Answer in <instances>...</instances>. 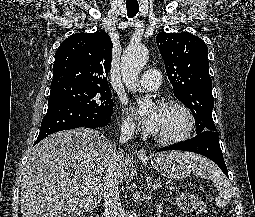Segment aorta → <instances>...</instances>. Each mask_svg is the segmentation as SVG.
I'll use <instances>...</instances> for the list:
<instances>
[{
	"mask_svg": "<svg viewBox=\"0 0 255 217\" xmlns=\"http://www.w3.org/2000/svg\"><path fill=\"white\" fill-rule=\"evenodd\" d=\"M149 58L148 50L139 44H130L124 51L121 58L122 79L126 87L136 92L138 87V76L142 68L146 65ZM139 114L144 115L152 107L150 99L138 98Z\"/></svg>",
	"mask_w": 255,
	"mask_h": 217,
	"instance_id": "obj_1",
	"label": "aorta"
}]
</instances>
